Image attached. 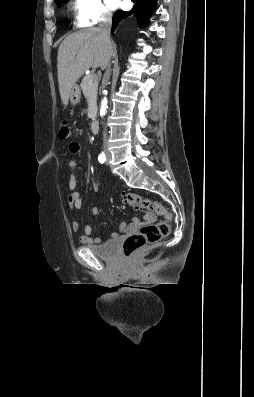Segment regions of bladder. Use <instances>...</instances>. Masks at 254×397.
<instances>
[{
    "mask_svg": "<svg viewBox=\"0 0 254 397\" xmlns=\"http://www.w3.org/2000/svg\"><path fill=\"white\" fill-rule=\"evenodd\" d=\"M87 248L101 259L114 260L119 254V241L111 240L101 245H90Z\"/></svg>",
    "mask_w": 254,
    "mask_h": 397,
    "instance_id": "bladder-1",
    "label": "bladder"
}]
</instances>
